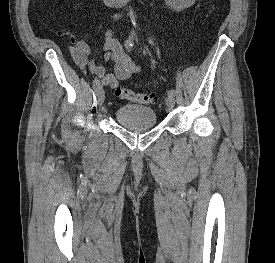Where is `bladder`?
<instances>
[{
	"instance_id": "bladder-1",
	"label": "bladder",
	"mask_w": 275,
	"mask_h": 263,
	"mask_svg": "<svg viewBox=\"0 0 275 263\" xmlns=\"http://www.w3.org/2000/svg\"><path fill=\"white\" fill-rule=\"evenodd\" d=\"M117 122L131 130L151 128L156 125L157 116L152 108L140 105H123L116 109Z\"/></svg>"
}]
</instances>
